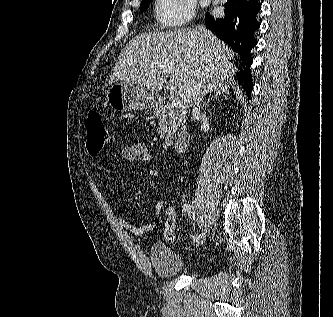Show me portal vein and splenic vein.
Here are the masks:
<instances>
[{"instance_id": "portal-vein-and-splenic-vein-1", "label": "portal vein and splenic vein", "mask_w": 333, "mask_h": 317, "mask_svg": "<svg viewBox=\"0 0 333 317\" xmlns=\"http://www.w3.org/2000/svg\"><path fill=\"white\" fill-rule=\"evenodd\" d=\"M168 71L171 72L172 68H169ZM171 106L175 109L182 108L183 107V102L179 97H174L172 99Z\"/></svg>"}]
</instances>
